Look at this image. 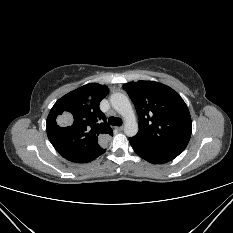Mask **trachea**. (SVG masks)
Listing matches in <instances>:
<instances>
[{
  "label": "trachea",
  "instance_id": "obj_1",
  "mask_svg": "<svg viewBox=\"0 0 233 233\" xmlns=\"http://www.w3.org/2000/svg\"><path fill=\"white\" fill-rule=\"evenodd\" d=\"M108 122L110 125L112 126H121L122 125V119L119 118V117H113L111 116L109 119H108Z\"/></svg>",
  "mask_w": 233,
  "mask_h": 233
}]
</instances>
